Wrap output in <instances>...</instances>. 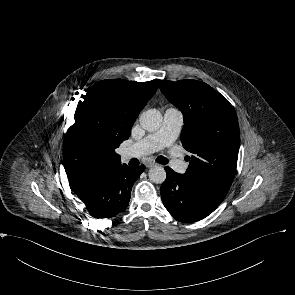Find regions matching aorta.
I'll use <instances>...</instances> for the list:
<instances>
[{
	"mask_svg": "<svg viewBox=\"0 0 295 295\" xmlns=\"http://www.w3.org/2000/svg\"><path fill=\"white\" fill-rule=\"evenodd\" d=\"M139 121L143 129L153 132L160 128L162 114L156 109H149L140 115ZM148 177L151 182L162 184L166 179V171L161 166H155L149 170Z\"/></svg>",
	"mask_w": 295,
	"mask_h": 295,
	"instance_id": "aorta-1",
	"label": "aorta"
}]
</instances>
